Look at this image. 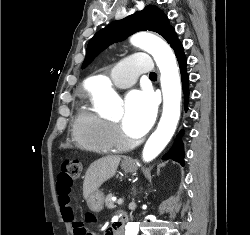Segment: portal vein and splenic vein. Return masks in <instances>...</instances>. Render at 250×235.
<instances>
[{
    "instance_id": "obj_1",
    "label": "portal vein and splenic vein",
    "mask_w": 250,
    "mask_h": 235,
    "mask_svg": "<svg viewBox=\"0 0 250 235\" xmlns=\"http://www.w3.org/2000/svg\"><path fill=\"white\" fill-rule=\"evenodd\" d=\"M122 203H123V199L120 198V199L117 200V204L120 205V204H122Z\"/></svg>"
}]
</instances>
